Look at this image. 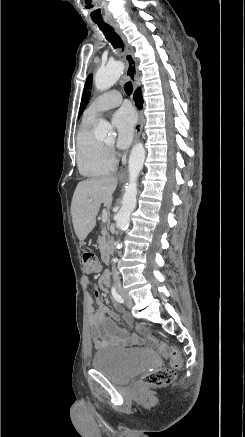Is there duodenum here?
Returning <instances> with one entry per match:
<instances>
[{"mask_svg":"<svg viewBox=\"0 0 245 437\" xmlns=\"http://www.w3.org/2000/svg\"><path fill=\"white\" fill-rule=\"evenodd\" d=\"M101 254H102V259H103V261H104L105 263H108L109 260H110V255H109L108 250H107L106 248H102ZM103 278H104V281L107 283L108 280H109V274H108L107 272H105V273L103 274Z\"/></svg>","mask_w":245,"mask_h":437,"instance_id":"duodenum-1","label":"duodenum"}]
</instances>
